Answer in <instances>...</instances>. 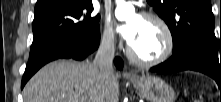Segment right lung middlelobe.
<instances>
[{
  "instance_id": "dd1d6c3e",
  "label": "right lung middle lobe",
  "mask_w": 221,
  "mask_h": 102,
  "mask_svg": "<svg viewBox=\"0 0 221 102\" xmlns=\"http://www.w3.org/2000/svg\"><path fill=\"white\" fill-rule=\"evenodd\" d=\"M92 11L91 0H46L36 4L30 56L61 38H94L99 32L100 16H92Z\"/></svg>"
}]
</instances>
